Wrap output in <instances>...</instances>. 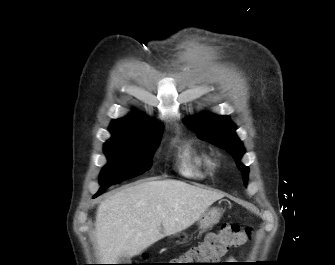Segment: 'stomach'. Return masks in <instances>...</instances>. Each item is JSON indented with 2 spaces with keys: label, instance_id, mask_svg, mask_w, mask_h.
Instances as JSON below:
<instances>
[{
  "label": "stomach",
  "instance_id": "0dacf381",
  "mask_svg": "<svg viewBox=\"0 0 335 265\" xmlns=\"http://www.w3.org/2000/svg\"><path fill=\"white\" fill-rule=\"evenodd\" d=\"M222 209L217 207H212L206 210L198 220L199 228L202 230L213 227L219 222L222 216ZM187 238L186 234H174L170 237L169 241L171 243H180Z\"/></svg>",
  "mask_w": 335,
  "mask_h": 265
}]
</instances>
